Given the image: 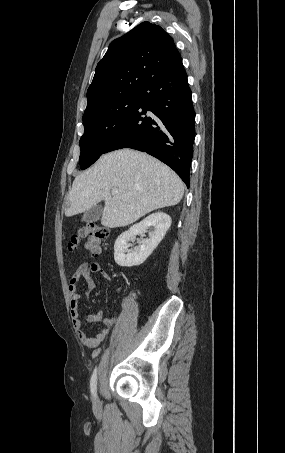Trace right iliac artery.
I'll list each match as a JSON object with an SVG mask.
<instances>
[{
    "mask_svg": "<svg viewBox=\"0 0 285 453\" xmlns=\"http://www.w3.org/2000/svg\"><path fill=\"white\" fill-rule=\"evenodd\" d=\"M90 389L93 397H96L97 392V369L94 370L91 380H90Z\"/></svg>",
    "mask_w": 285,
    "mask_h": 453,
    "instance_id": "82829eb1",
    "label": "right iliac artery"
}]
</instances>
